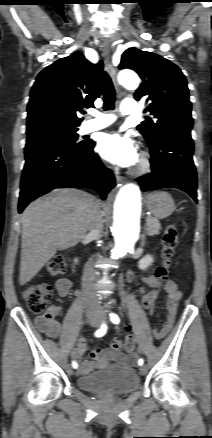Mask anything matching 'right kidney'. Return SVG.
Masks as SVG:
<instances>
[{
    "instance_id": "obj_1",
    "label": "right kidney",
    "mask_w": 212,
    "mask_h": 438,
    "mask_svg": "<svg viewBox=\"0 0 212 438\" xmlns=\"http://www.w3.org/2000/svg\"><path fill=\"white\" fill-rule=\"evenodd\" d=\"M75 262L77 263V262H78V260H77V259H75Z\"/></svg>"
}]
</instances>
